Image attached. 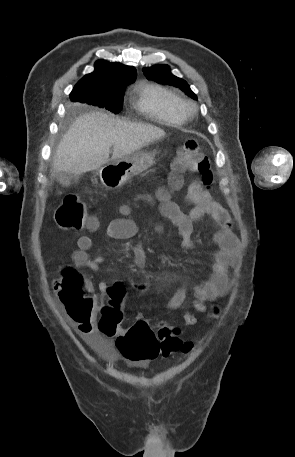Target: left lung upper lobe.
I'll return each mask as SVG.
<instances>
[{
    "mask_svg": "<svg viewBox=\"0 0 295 457\" xmlns=\"http://www.w3.org/2000/svg\"><path fill=\"white\" fill-rule=\"evenodd\" d=\"M143 73L148 79L178 87L188 95L197 98V96L191 91L187 82L174 76L168 65H154L152 67H147L143 69Z\"/></svg>",
    "mask_w": 295,
    "mask_h": 457,
    "instance_id": "left-lung-upper-lobe-1",
    "label": "left lung upper lobe"
}]
</instances>
